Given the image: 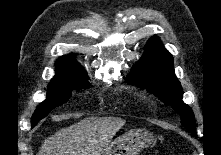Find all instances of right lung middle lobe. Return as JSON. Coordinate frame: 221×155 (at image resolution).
<instances>
[{
	"mask_svg": "<svg viewBox=\"0 0 221 155\" xmlns=\"http://www.w3.org/2000/svg\"><path fill=\"white\" fill-rule=\"evenodd\" d=\"M86 77L87 74L84 70L56 74L48 85L46 100L37 106L32 116V128L39 120L46 117L53 108L66 102L73 89L80 90L88 87L89 82H87Z\"/></svg>",
	"mask_w": 221,
	"mask_h": 155,
	"instance_id": "dd1d6c3e",
	"label": "right lung middle lobe"
}]
</instances>
